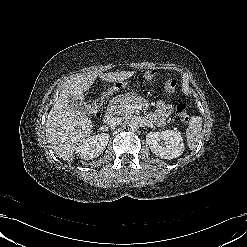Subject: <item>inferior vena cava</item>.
Returning a JSON list of instances; mask_svg holds the SVG:
<instances>
[{"label":"inferior vena cava","mask_w":247,"mask_h":247,"mask_svg":"<svg viewBox=\"0 0 247 247\" xmlns=\"http://www.w3.org/2000/svg\"><path fill=\"white\" fill-rule=\"evenodd\" d=\"M121 122H122L121 118H119V117H111V118L108 119L107 125L110 128H114V127L120 125Z\"/></svg>","instance_id":"obj_1"}]
</instances>
